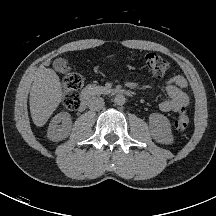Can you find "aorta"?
<instances>
[{"label": "aorta", "mask_w": 216, "mask_h": 216, "mask_svg": "<svg viewBox=\"0 0 216 216\" xmlns=\"http://www.w3.org/2000/svg\"><path fill=\"white\" fill-rule=\"evenodd\" d=\"M126 102V98L122 94H118L114 97V103L116 105L122 106Z\"/></svg>", "instance_id": "aorta-1"}]
</instances>
